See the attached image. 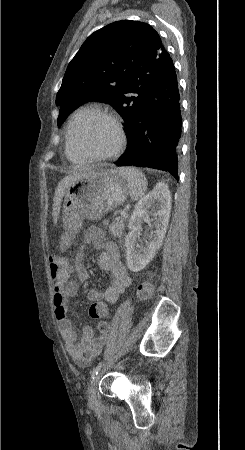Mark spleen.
<instances>
[{"instance_id":"spleen-1","label":"spleen","mask_w":245,"mask_h":450,"mask_svg":"<svg viewBox=\"0 0 245 450\" xmlns=\"http://www.w3.org/2000/svg\"><path fill=\"white\" fill-rule=\"evenodd\" d=\"M119 170L128 181L131 198L135 201L141 199L147 190L145 175L133 167L120 168Z\"/></svg>"}]
</instances>
